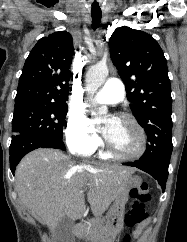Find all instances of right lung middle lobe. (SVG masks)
I'll return each instance as SVG.
<instances>
[{"mask_svg":"<svg viewBox=\"0 0 187 242\" xmlns=\"http://www.w3.org/2000/svg\"><path fill=\"white\" fill-rule=\"evenodd\" d=\"M67 105L28 104L14 108L12 132L62 139Z\"/></svg>","mask_w":187,"mask_h":242,"instance_id":"right-lung-middle-lobe-1","label":"right lung middle lobe"}]
</instances>
